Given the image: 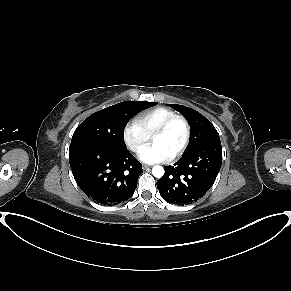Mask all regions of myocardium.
I'll use <instances>...</instances> for the list:
<instances>
[{"mask_svg":"<svg viewBox=\"0 0 291 291\" xmlns=\"http://www.w3.org/2000/svg\"><path fill=\"white\" fill-rule=\"evenodd\" d=\"M181 122L184 127V139L183 142L181 143L180 147L177 149V151L173 154L172 159L177 158L181 156L184 151L186 150L189 142H190V137H191V128L190 124L187 121V119L181 115H174L167 120H165L152 134V137L160 134L166 133L170 127L175 123V122Z\"/></svg>","mask_w":291,"mask_h":291,"instance_id":"1","label":"myocardium"}]
</instances>
